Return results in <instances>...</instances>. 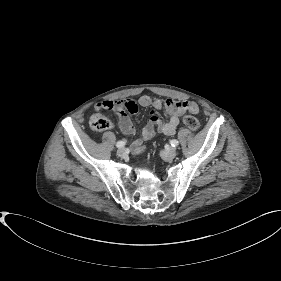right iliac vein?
Masks as SVG:
<instances>
[{
	"label": "right iliac vein",
	"mask_w": 281,
	"mask_h": 281,
	"mask_svg": "<svg viewBox=\"0 0 281 281\" xmlns=\"http://www.w3.org/2000/svg\"><path fill=\"white\" fill-rule=\"evenodd\" d=\"M117 155L120 156V157H124L126 155V151L124 148H119L117 150Z\"/></svg>",
	"instance_id": "1"
}]
</instances>
